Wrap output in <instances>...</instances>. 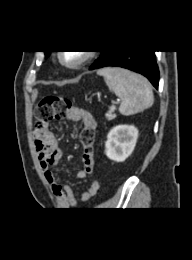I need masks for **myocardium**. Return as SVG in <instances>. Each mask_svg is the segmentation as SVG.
Listing matches in <instances>:
<instances>
[{"label":"myocardium","instance_id":"f54148a6","mask_svg":"<svg viewBox=\"0 0 192 260\" xmlns=\"http://www.w3.org/2000/svg\"><path fill=\"white\" fill-rule=\"evenodd\" d=\"M81 53H82L81 57L74 62H68L65 60V58H64L65 52H60L58 57H59L60 62L63 65H65L66 67H69V68L76 69V68H79V67L83 66L84 64H86L93 56V53L91 51H81Z\"/></svg>","mask_w":192,"mask_h":260}]
</instances>
